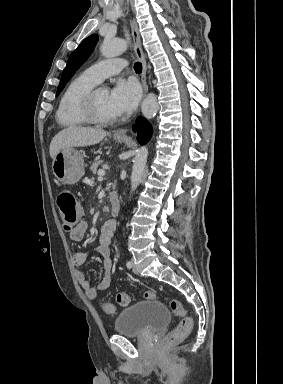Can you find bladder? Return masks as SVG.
<instances>
[{
  "mask_svg": "<svg viewBox=\"0 0 283 384\" xmlns=\"http://www.w3.org/2000/svg\"><path fill=\"white\" fill-rule=\"evenodd\" d=\"M171 314L161 301L139 300L122 308L115 318L114 331L124 337H143L169 323Z\"/></svg>",
  "mask_w": 283,
  "mask_h": 384,
  "instance_id": "1",
  "label": "bladder"
}]
</instances>
